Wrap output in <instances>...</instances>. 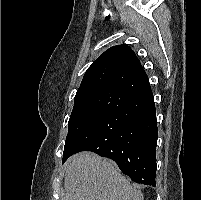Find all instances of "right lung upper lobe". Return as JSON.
I'll return each mask as SVG.
<instances>
[{"instance_id":"1","label":"right lung upper lobe","mask_w":201,"mask_h":200,"mask_svg":"<svg viewBox=\"0 0 201 200\" xmlns=\"http://www.w3.org/2000/svg\"><path fill=\"white\" fill-rule=\"evenodd\" d=\"M102 90L129 99L151 90L147 74L129 46H113L101 54L85 72L76 94Z\"/></svg>"}]
</instances>
